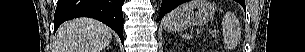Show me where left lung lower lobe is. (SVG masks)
Listing matches in <instances>:
<instances>
[{"instance_id": "1", "label": "left lung lower lobe", "mask_w": 305, "mask_h": 52, "mask_svg": "<svg viewBox=\"0 0 305 52\" xmlns=\"http://www.w3.org/2000/svg\"><path fill=\"white\" fill-rule=\"evenodd\" d=\"M184 2H187V0H163L160 8L159 19H162L166 13Z\"/></svg>"}]
</instances>
